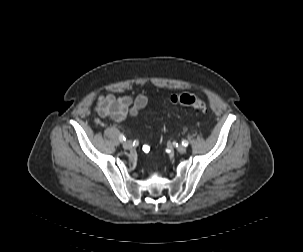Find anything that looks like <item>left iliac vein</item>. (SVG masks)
Segmentation results:
<instances>
[{"instance_id":"4c4485c4","label":"left iliac vein","mask_w":303,"mask_h":252,"mask_svg":"<svg viewBox=\"0 0 303 252\" xmlns=\"http://www.w3.org/2000/svg\"><path fill=\"white\" fill-rule=\"evenodd\" d=\"M177 151L180 153V154H184L186 152V148L182 145H180L178 148H177Z\"/></svg>"}]
</instances>
